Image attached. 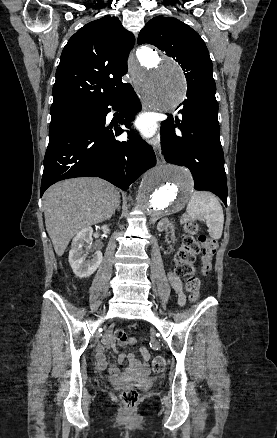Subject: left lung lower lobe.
<instances>
[{"instance_id": "left-lung-lower-lobe-1", "label": "left lung lower lobe", "mask_w": 277, "mask_h": 438, "mask_svg": "<svg viewBox=\"0 0 277 438\" xmlns=\"http://www.w3.org/2000/svg\"><path fill=\"white\" fill-rule=\"evenodd\" d=\"M179 113L181 119L175 117L176 124L172 115L161 123L165 160L189 168L194 188L213 192L227 206V180L215 97H188Z\"/></svg>"}]
</instances>
